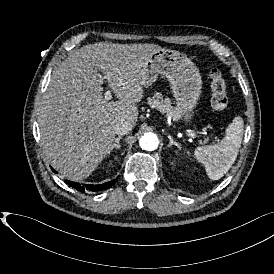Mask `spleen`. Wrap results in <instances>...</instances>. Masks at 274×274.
Returning a JSON list of instances; mask_svg holds the SVG:
<instances>
[{"mask_svg":"<svg viewBox=\"0 0 274 274\" xmlns=\"http://www.w3.org/2000/svg\"><path fill=\"white\" fill-rule=\"evenodd\" d=\"M243 129V119L235 117L219 144L196 148L194 156L204 164L210 179L218 180L223 177L235 162L242 143Z\"/></svg>","mask_w":274,"mask_h":274,"instance_id":"obj_1","label":"spleen"}]
</instances>
